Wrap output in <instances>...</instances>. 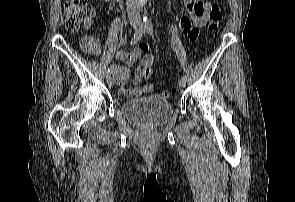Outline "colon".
<instances>
[{
    "label": "colon",
    "instance_id": "1",
    "mask_svg": "<svg viewBox=\"0 0 295 202\" xmlns=\"http://www.w3.org/2000/svg\"><path fill=\"white\" fill-rule=\"evenodd\" d=\"M87 8V0H66L64 3L65 25L68 31L77 32L85 23V14ZM222 19V12L218 4H213L209 11V28L214 30L219 26ZM196 38V37H195ZM193 38V39H195ZM89 48L88 45L84 46ZM153 52H144V56H140V66H136V71H141L143 74L152 75ZM154 82H146L143 85V90H153ZM163 98L170 96L169 90L161 92Z\"/></svg>",
    "mask_w": 295,
    "mask_h": 202
}]
</instances>
